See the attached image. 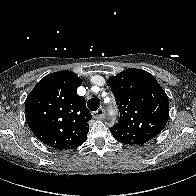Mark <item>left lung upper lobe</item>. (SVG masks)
Returning <instances> with one entry per match:
<instances>
[{
    "label": "left lung upper lobe",
    "mask_w": 196,
    "mask_h": 196,
    "mask_svg": "<svg viewBox=\"0 0 196 196\" xmlns=\"http://www.w3.org/2000/svg\"><path fill=\"white\" fill-rule=\"evenodd\" d=\"M108 84L121 115L110 128L117 141L142 145L164 129L169 117L168 97L150 73L130 68L110 77Z\"/></svg>",
    "instance_id": "5c2ea615"
}]
</instances>
